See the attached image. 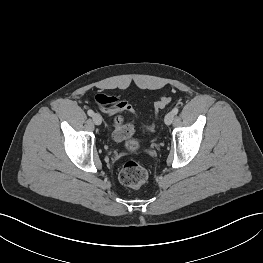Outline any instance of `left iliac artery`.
Instances as JSON below:
<instances>
[{"label":"left iliac artery","instance_id":"obj_1","mask_svg":"<svg viewBox=\"0 0 263 263\" xmlns=\"http://www.w3.org/2000/svg\"><path fill=\"white\" fill-rule=\"evenodd\" d=\"M179 112V109L177 107H175L173 110H172V113L174 115H176L177 113Z\"/></svg>","mask_w":263,"mask_h":263}]
</instances>
